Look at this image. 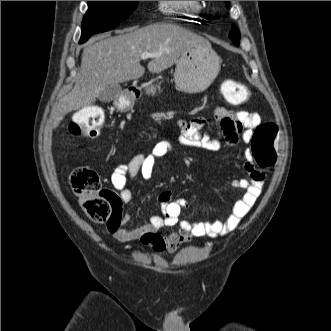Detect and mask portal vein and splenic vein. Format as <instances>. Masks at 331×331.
Listing matches in <instances>:
<instances>
[{
  "label": "portal vein and splenic vein",
  "instance_id": "portal-vein-and-splenic-vein-1",
  "mask_svg": "<svg viewBox=\"0 0 331 331\" xmlns=\"http://www.w3.org/2000/svg\"><path fill=\"white\" fill-rule=\"evenodd\" d=\"M156 56H158V54H155V53H143L141 55V59L145 60V59L153 58V57H156Z\"/></svg>",
  "mask_w": 331,
  "mask_h": 331
}]
</instances>
